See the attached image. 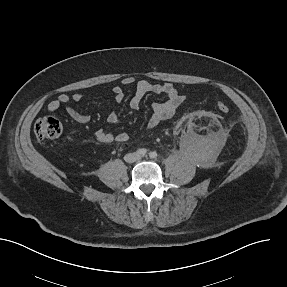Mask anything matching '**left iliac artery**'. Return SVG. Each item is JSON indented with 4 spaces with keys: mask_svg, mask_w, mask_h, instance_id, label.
Wrapping results in <instances>:
<instances>
[{
    "mask_svg": "<svg viewBox=\"0 0 287 287\" xmlns=\"http://www.w3.org/2000/svg\"><path fill=\"white\" fill-rule=\"evenodd\" d=\"M150 158H156L157 157V153L155 151H152L149 153Z\"/></svg>",
    "mask_w": 287,
    "mask_h": 287,
    "instance_id": "44dca946",
    "label": "left iliac artery"
}]
</instances>
